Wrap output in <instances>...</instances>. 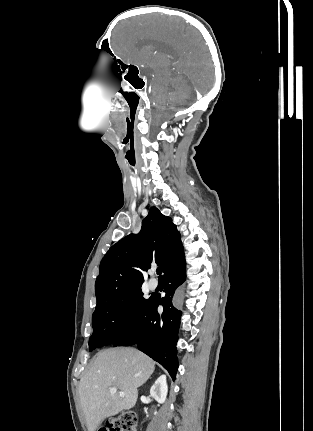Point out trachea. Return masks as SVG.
I'll return each instance as SVG.
<instances>
[{
    "mask_svg": "<svg viewBox=\"0 0 313 431\" xmlns=\"http://www.w3.org/2000/svg\"><path fill=\"white\" fill-rule=\"evenodd\" d=\"M161 273H162V268H161V267H158V268H157V274L159 275V278H160V279L162 278Z\"/></svg>",
    "mask_w": 313,
    "mask_h": 431,
    "instance_id": "3493384b",
    "label": "trachea"
}]
</instances>
